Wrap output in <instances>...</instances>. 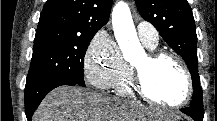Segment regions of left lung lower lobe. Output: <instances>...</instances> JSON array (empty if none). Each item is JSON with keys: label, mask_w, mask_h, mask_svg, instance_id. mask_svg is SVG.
Masks as SVG:
<instances>
[{"label": "left lung lower lobe", "mask_w": 217, "mask_h": 121, "mask_svg": "<svg viewBox=\"0 0 217 121\" xmlns=\"http://www.w3.org/2000/svg\"><path fill=\"white\" fill-rule=\"evenodd\" d=\"M181 111H182L183 113H185V114L191 116L195 121H197L196 118L194 117L192 111H191L189 108H183V109H181Z\"/></svg>", "instance_id": "obj_1"}]
</instances>
